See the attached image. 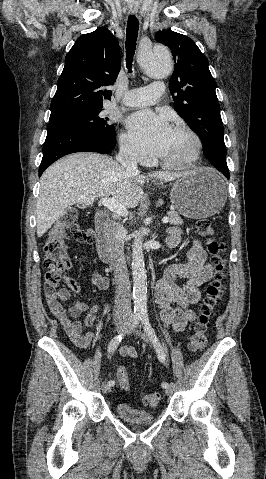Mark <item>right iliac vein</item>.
Returning <instances> with one entry per match:
<instances>
[{
  "mask_svg": "<svg viewBox=\"0 0 266 479\" xmlns=\"http://www.w3.org/2000/svg\"><path fill=\"white\" fill-rule=\"evenodd\" d=\"M128 328V323L120 322L116 324V330L118 333L124 332ZM102 391L103 393H109L111 391V386L107 382L102 383Z\"/></svg>",
  "mask_w": 266,
  "mask_h": 479,
  "instance_id": "1",
  "label": "right iliac vein"
}]
</instances>
